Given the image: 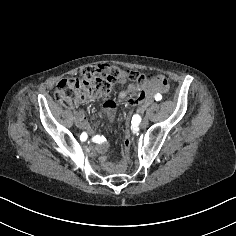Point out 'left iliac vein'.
I'll use <instances>...</instances> for the list:
<instances>
[{
	"mask_svg": "<svg viewBox=\"0 0 236 236\" xmlns=\"http://www.w3.org/2000/svg\"><path fill=\"white\" fill-rule=\"evenodd\" d=\"M146 120L147 119L145 117L142 119V122L140 123L141 127H146L147 126V121Z\"/></svg>",
	"mask_w": 236,
	"mask_h": 236,
	"instance_id": "1",
	"label": "left iliac vein"
}]
</instances>
